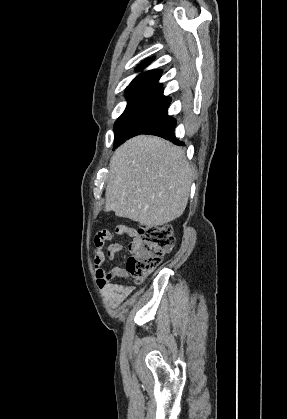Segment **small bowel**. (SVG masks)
<instances>
[{
	"label": "small bowel",
	"instance_id": "obj_1",
	"mask_svg": "<svg viewBox=\"0 0 287 419\" xmlns=\"http://www.w3.org/2000/svg\"><path fill=\"white\" fill-rule=\"evenodd\" d=\"M136 230L127 225H118L115 231H107L104 238L111 241L116 235H125L131 238L136 237ZM105 241L96 243V251L94 256V268L96 274V282L102 289L111 307L116 308L121 305L133 292L130 285L122 283H114L115 278H129V273L120 267H114L109 270L103 268L106 258L115 259L122 251V245L114 242L106 248Z\"/></svg>",
	"mask_w": 287,
	"mask_h": 419
}]
</instances>
